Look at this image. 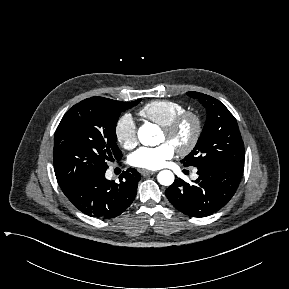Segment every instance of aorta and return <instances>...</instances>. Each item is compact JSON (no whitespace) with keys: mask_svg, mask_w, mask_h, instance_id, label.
<instances>
[{"mask_svg":"<svg viewBox=\"0 0 289 289\" xmlns=\"http://www.w3.org/2000/svg\"><path fill=\"white\" fill-rule=\"evenodd\" d=\"M156 126L151 123L142 125L138 130V139L145 146L154 145L153 136L156 134ZM161 185L170 186L174 182V174L170 170H162L157 175Z\"/></svg>","mask_w":289,"mask_h":289,"instance_id":"aorta-1","label":"aorta"}]
</instances>
